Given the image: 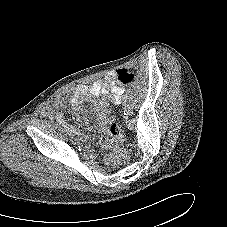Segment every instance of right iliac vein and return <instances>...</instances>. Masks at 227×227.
<instances>
[{
  "label": "right iliac vein",
  "instance_id": "63e3f726",
  "mask_svg": "<svg viewBox=\"0 0 227 227\" xmlns=\"http://www.w3.org/2000/svg\"><path fill=\"white\" fill-rule=\"evenodd\" d=\"M65 130L70 136H74L75 135V132H74L73 128L70 127L69 125L65 126Z\"/></svg>",
  "mask_w": 227,
  "mask_h": 227
}]
</instances>
